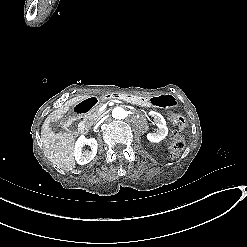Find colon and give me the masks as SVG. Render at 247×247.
<instances>
[{
  "label": "colon",
  "mask_w": 247,
  "mask_h": 247,
  "mask_svg": "<svg viewBox=\"0 0 247 247\" xmlns=\"http://www.w3.org/2000/svg\"><path fill=\"white\" fill-rule=\"evenodd\" d=\"M175 118V122L179 125L180 129H183L185 126L186 117L184 114L179 113L177 115H171V119ZM185 148V141L180 132L174 134L172 138V143L170 146V155L171 157H178Z\"/></svg>",
  "instance_id": "1"
}]
</instances>
